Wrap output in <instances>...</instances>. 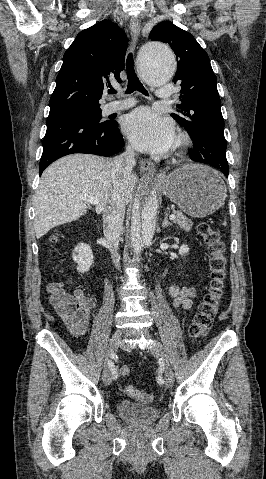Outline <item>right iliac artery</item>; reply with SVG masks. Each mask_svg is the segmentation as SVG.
Masks as SVG:
<instances>
[{"label":"right iliac artery","instance_id":"1","mask_svg":"<svg viewBox=\"0 0 266 479\" xmlns=\"http://www.w3.org/2000/svg\"><path fill=\"white\" fill-rule=\"evenodd\" d=\"M108 366L112 372V378L117 379L118 373L115 369L114 363L111 360H108Z\"/></svg>","mask_w":266,"mask_h":479}]
</instances>
